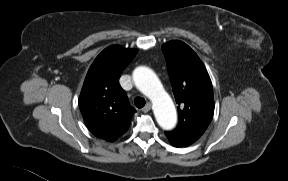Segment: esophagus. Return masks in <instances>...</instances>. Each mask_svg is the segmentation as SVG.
Instances as JSON below:
<instances>
[{"label": "esophagus", "instance_id": "1", "mask_svg": "<svg viewBox=\"0 0 288 181\" xmlns=\"http://www.w3.org/2000/svg\"><path fill=\"white\" fill-rule=\"evenodd\" d=\"M151 109V103L148 102L143 108H142V111L144 113L148 112L149 110Z\"/></svg>", "mask_w": 288, "mask_h": 181}]
</instances>
